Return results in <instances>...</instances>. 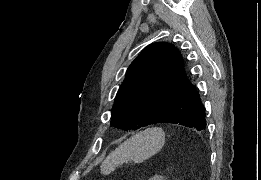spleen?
<instances>
[{
	"mask_svg": "<svg viewBox=\"0 0 261 180\" xmlns=\"http://www.w3.org/2000/svg\"><path fill=\"white\" fill-rule=\"evenodd\" d=\"M165 144V132L162 128H146L144 132L135 134L123 144H120L114 152L109 154L104 166H101L102 174H111L118 166L126 162L142 164L161 152Z\"/></svg>",
	"mask_w": 261,
	"mask_h": 180,
	"instance_id": "3e777b00",
	"label": "spleen"
}]
</instances>
